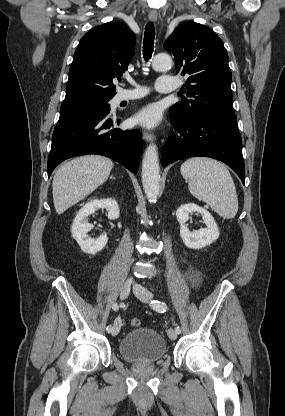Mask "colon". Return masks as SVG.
I'll list each match as a JSON object with an SVG mask.
<instances>
[{
    "mask_svg": "<svg viewBox=\"0 0 285 416\" xmlns=\"http://www.w3.org/2000/svg\"><path fill=\"white\" fill-rule=\"evenodd\" d=\"M130 325L132 327H138V326H140V320L138 318H133L130 321Z\"/></svg>",
    "mask_w": 285,
    "mask_h": 416,
    "instance_id": "1",
    "label": "colon"
}]
</instances>
